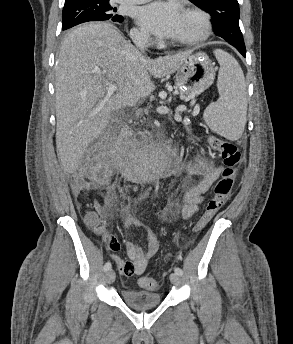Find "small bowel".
<instances>
[{"label": "small bowel", "instance_id": "small-bowel-1", "mask_svg": "<svg viewBox=\"0 0 293 344\" xmlns=\"http://www.w3.org/2000/svg\"><path fill=\"white\" fill-rule=\"evenodd\" d=\"M182 172L191 175H199L200 179L190 185L184 195L183 215L190 218L198 210L200 204L205 199V194L213 183L219 178L223 168L216 166L211 160L205 157H197L181 165ZM95 207L99 210L100 205L95 202ZM140 220L128 213H125L123 227L125 229L131 226L141 225ZM106 246L109 250L118 251L119 242L116 236L110 233H104ZM159 250V242L156 233L148 229L146 233V249H142L132 241L126 242V253L128 259L125 260L117 254H112V261L118 266L122 275L141 276L146 269L147 263Z\"/></svg>", "mask_w": 293, "mask_h": 344}]
</instances>
